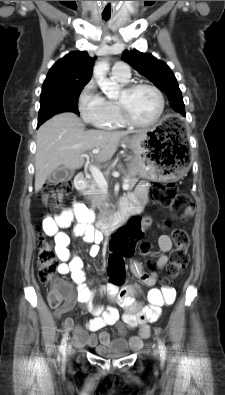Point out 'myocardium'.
<instances>
[{"label": "myocardium", "instance_id": "1", "mask_svg": "<svg viewBox=\"0 0 225 395\" xmlns=\"http://www.w3.org/2000/svg\"><path fill=\"white\" fill-rule=\"evenodd\" d=\"M140 88H148L150 90H152L157 99H158V112L156 114V116L154 117V119H152L149 122H137L134 119H132V117L129 115L127 106L125 104V102L121 101V100H117V107L120 113V117L121 120L123 121V123L125 125L131 126V127H136V128H148V127H152L154 125H156L164 112V108H165V102H164V97L162 92L160 91V89L158 87H156L153 84L147 83V82H137V83H132L129 84L127 86H125L122 90V92H124L127 95L132 94L133 92H135L136 90L140 89Z\"/></svg>", "mask_w": 225, "mask_h": 395}]
</instances>
